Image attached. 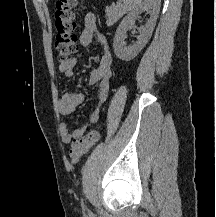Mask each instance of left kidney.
Here are the masks:
<instances>
[{"mask_svg":"<svg viewBox=\"0 0 216 217\" xmlns=\"http://www.w3.org/2000/svg\"><path fill=\"white\" fill-rule=\"evenodd\" d=\"M161 0H144L133 11H131L120 23L114 37L113 48L115 55L124 61L132 60L145 47L154 30L158 13L160 10ZM145 10H150V18L145 27L139 30L140 34L137 42L133 45L126 46L124 37L133 25L138 16Z\"/></svg>","mask_w":216,"mask_h":217,"instance_id":"5707ae66","label":"left kidney"}]
</instances>
